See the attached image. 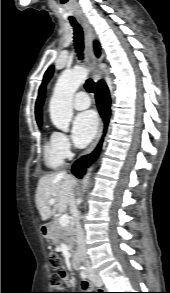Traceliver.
<instances>
[{
  "mask_svg": "<svg viewBox=\"0 0 170 293\" xmlns=\"http://www.w3.org/2000/svg\"><path fill=\"white\" fill-rule=\"evenodd\" d=\"M76 183V179L65 172L45 175L39 179L36 205L43 221L50 219L57 211L63 213L69 206L71 208V196ZM51 199H55L53 209L49 204Z\"/></svg>",
  "mask_w": 170,
  "mask_h": 293,
  "instance_id": "liver-1",
  "label": "liver"
}]
</instances>
